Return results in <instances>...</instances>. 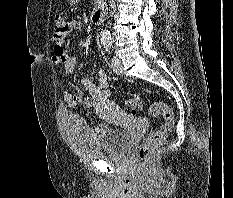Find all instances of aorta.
<instances>
[{
  "label": "aorta",
  "mask_w": 233,
  "mask_h": 198,
  "mask_svg": "<svg viewBox=\"0 0 233 198\" xmlns=\"http://www.w3.org/2000/svg\"><path fill=\"white\" fill-rule=\"evenodd\" d=\"M100 38L102 42H107L111 40V34L109 30L104 29L100 32Z\"/></svg>",
  "instance_id": "1"
}]
</instances>
